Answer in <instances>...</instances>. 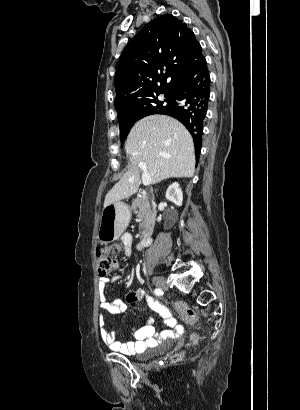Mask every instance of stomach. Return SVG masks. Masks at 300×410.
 <instances>
[{
  "label": "stomach",
  "instance_id": "obj_1",
  "mask_svg": "<svg viewBox=\"0 0 300 410\" xmlns=\"http://www.w3.org/2000/svg\"><path fill=\"white\" fill-rule=\"evenodd\" d=\"M131 218V211L127 204L118 201L103 208L98 230L101 242L117 240L126 229Z\"/></svg>",
  "mask_w": 300,
  "mask_h": 410
}]
</instances>
